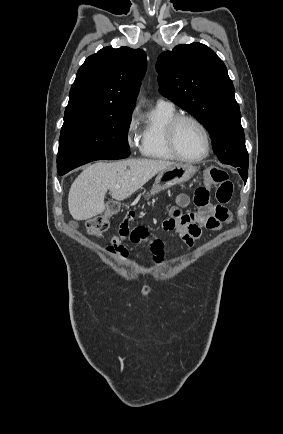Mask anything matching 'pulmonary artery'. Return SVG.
Instances as JSON below:
<instances>
[{
  "label": "pulmonary artery",
  "instance_id": "e3ab8cb5",
  "mask_svg": "<svg viewBox=\"0 0 283 434\" xmlns=\"http://www.w3.org/2000/svg\"><path fill=\"white\" fill-rule=\"evenodd\" d=\"M156 105L161 107H173V103L165 99H158Z\"/></svg>",
  "mask_w": 283,
  "mask_h": 434
}]
</instances>
